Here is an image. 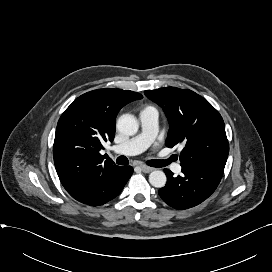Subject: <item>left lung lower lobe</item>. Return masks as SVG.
Listing matches in <instances>:
<instances>
[{
    "label": "left lung lower lobe",
    "instance_id": "1",
    "mask_svg": "<svg viewBox=\"0 0 272 272\" xmlns=\"http://www.w3.org/2000/svg\"><path fill=\"white\" fill-rule=\"evenodd\" d=\"M223 171V168L209 166H182L183 175L174 177L170 170L164 169L167 183L158 193L173 208L194 207L215 191Z\"/></svg>",
    "mask_w": 272,
    "mask_h": 272
}]
</instances>
